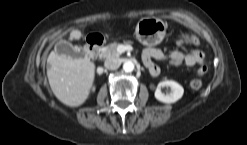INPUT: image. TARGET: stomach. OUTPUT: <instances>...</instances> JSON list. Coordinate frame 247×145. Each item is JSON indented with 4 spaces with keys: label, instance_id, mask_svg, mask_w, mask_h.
I'll use <instances>...</instances> for the list:
<instances>
[{
    "label": "stomach",
    "instance_id": "1",
    "mask_svg": "<svg viewBox=\"0 0 247 145\" xmlns=\"http://www.w3.org/2000/svg\"><path fill=\"white\" fill-rule=\"evenodd\" d=\"M167 25L159 18H142L136 26L135 34L139 42L147 46H155L162 42Z\"/></svg>",
    "mask_w": 247,
    "mask_h": 145
}]
</instances>
